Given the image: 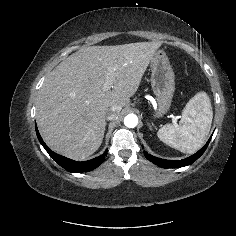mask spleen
<instances>
[{"label": "spleen", "mask_w": 236, "mask_h": 236, "mask_svg": "<svg viewBox=\"0 0 236 236\" xmlns=\"http://www.w3.org/2000/svg\"><path fill=\"white\" fill-rule=\"evenodd\" d=\"M212 106L205 92L197 93L182 111L179 125L166 124L158 130V138L183 153H194L208 135L212 122Z\"/></svg>", "instance_id": "3e777b00"}]
</instances>
